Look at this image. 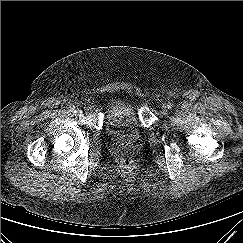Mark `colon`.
Listing matches in <instances>:
<instances>
[{"instance_id":"1","label":"colon","mask_w":243,"mask_h":243,"mask_svg":"<svg viewBox=\"0 0 243 243\" xmlns=\"http://www.w3.org/2000/svg\"><path fill=\"white\" fill-rule=\"evenodd\" d=\"M121 164H122V167L125 170H132L135 167L134 161L132 159H130V158H124V159H122Z\"/></svg>"}]
</instances>
